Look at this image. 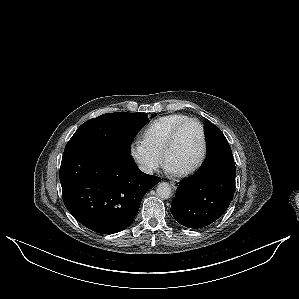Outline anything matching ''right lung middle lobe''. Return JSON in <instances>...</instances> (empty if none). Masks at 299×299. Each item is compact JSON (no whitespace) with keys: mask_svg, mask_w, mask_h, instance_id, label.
I'll return each instance as SVG.
<instances>
[{"mask_svg":"<svg viewBox=\"0 0 299 299\" xmlns=\"http://www.w3.org/2000/svg\"><path fill=\"white\" fill-rule=\"evenodd\" d=\"M147 120L141 112L106 113L83 123L67 144H99L130 155L132 140Z\"/></svg>","mask_w":299,"mask_h":299,"instance_id":"obj_1","label":"right lung middle lobe"}]
</instances>
